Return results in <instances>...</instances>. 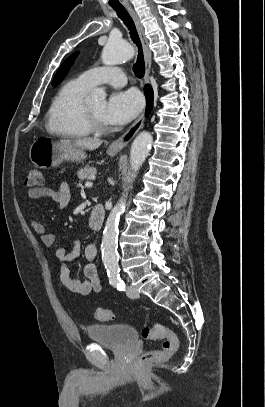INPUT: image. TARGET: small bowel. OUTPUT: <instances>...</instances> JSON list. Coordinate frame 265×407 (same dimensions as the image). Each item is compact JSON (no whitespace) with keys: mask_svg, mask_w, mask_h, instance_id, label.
Segmentation results:
<instances>
[{"mask_svg":"<svg viewBox=\"0 0 265 407\" xmlns=\"http://www.w3.org/2000/svg\"><path fill=\"white\" fill-rule=\"evenodd\" d=\"M27 196L30 199L48 197L57 203L60 208H65L70 200V190L66 183H62L58 190L46 186L29 188L27 190ZM30 225L34 232L39 235L45 246H52L55 244L56 236L49 233L41 222L31 219ZM79 254L80 243L77 239L70 240L56 250L55 258L59 263V276L61 283L69 292L80 295H88L92 291L97 293L100 292L102 289L101 275L94 263L96 257L95 245L89 244L85 249L87 264L84 267V276L86 279L83 280L72 277L68 266L69 262L78 258Z\"/></svg>","mask_w":265,"mask_h":407,"instance_id":"c3829d8e","label":"small bowel"}]
</instances>
